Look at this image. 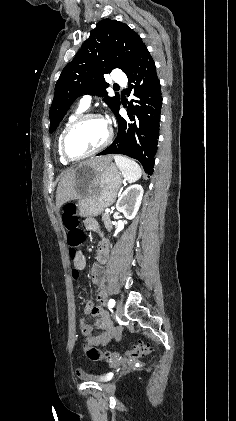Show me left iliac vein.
Instances as JSON below:
<instances>
[{"instance_id": "obj_1", "label": "left iliac vein", "mask_w": 236, "mask_h": 421, "mask_svg": "<svg viewBox=\"0 0 236 421\" xmlns=\"http://www.w3.org/2000/svg\"><path fill=\"white\" fill-rule=\"evenodd\" d=\"M116 311H117V316L119 318H121L122 317V312H123V304L122 303H118L117 304Z\"/></svg>"}]
</instances>
